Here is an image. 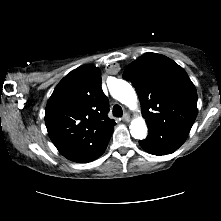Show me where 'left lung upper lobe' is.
I'll list each match as a JSON object with an SVG mask.
<instances>
[{
	"label": "left lung upper lobe",
	"mask_w": 221,
	"mask_h": 221,
	"mask_svg": "<svg viewBox=\"0 0 221 221\" xmlns=\"http://www.w3.org/2000/svg\"><path fill=\"white\" fill-rule=\"evenodd\" d=\"M123 78L134 85L147 125L190 131L197 92L182 67L166 56L145 53L126 67Z\"/></svg>",
	"instance_id": "left-lung-upper-lobe-1"
}]
</instances>
